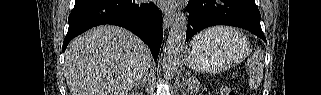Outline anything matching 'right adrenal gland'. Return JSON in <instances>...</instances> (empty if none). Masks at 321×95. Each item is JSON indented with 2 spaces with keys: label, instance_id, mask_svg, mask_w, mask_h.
Segmentation results:
<instances>
[{
  "label": "right adrenal gland",
  "instance_id": "obj_1",
  "mask_svg": "<svg viewBox=\"0 0 321 95\" xmlns=\"http://www.w3.org/2000/svg\"><path fill=\"white\" fill-rule=\"evenodd\" d=\"M146 80H147V77L145 76V77L135 86L133 93H134L135 91H137V89H138L139 87L144 88L145 83H146Z\"/></svg>",
  "mask_w": 321,
  "mask_h": 95
}]
</instances>
